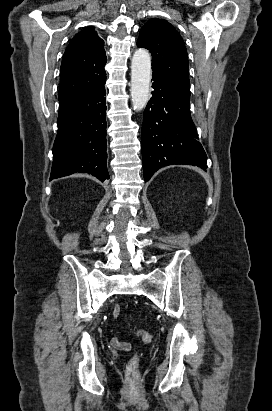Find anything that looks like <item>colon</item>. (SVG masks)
I'll return each instance as SVG.
<instances>
[{"instance_id": "1", "label": "colon", "mask_w": 272, "mask_h": 411, "mask_svg": "<svg viewBox=\"0 0 272 411\" xmlns=\"http://www.w3.org/2000/svg\"><path fill=\"white\" fill-rule=\"evenodd\" d=\"M137 334L143 342L148 343L152 340V334L146 330H138ZM127 384L134 388L139 385V357L134 355L127 363L126 367Z\"/></svg>"}]
</instances>
